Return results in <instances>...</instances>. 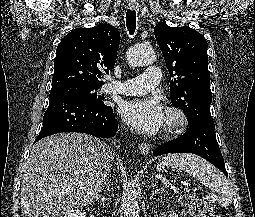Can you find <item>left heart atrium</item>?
Returning <instances> with one entry per match:
<instances>
[{
    "mask_svg": "<svg viewBox=\"0 0 255 217\" xmlns=\"http://www.w3.org/2000/svg\"><path fill=\"white\" fill-rule=\"evenodd\" d=\"M122 119L143 134H156L164 126L165 110L157 99H133L120 106Z\"/></svg>",
    "mask_w": 255,
    "mask_h": 217,
    "instance_id": "39dd6f15",
    "label": "left heart atrium"
}]
</instances>
